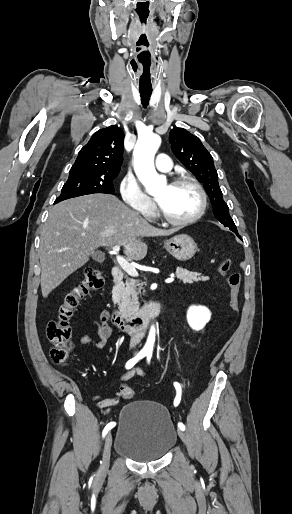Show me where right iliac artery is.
Returning <instances> with one entry per match:
<instances>
[{"instance_id": "right-iliac-artery-1", "label": "right iliac artery", "mask_w": 292, "mask_h": 514, "mask_svg": "<svg viewBox=\"0 0 292 514\" xmlns=\"http://www.w3.org/2000/svg\"><path fill=\"white\" fill-rule=\"evenodd\" d=\"M147 355L146 351H140L134 358L127 361L125 368L131 369L139 360ZM116 425L115 422L108 423L103 430V437Z\"/></svg>"}]
</instances>
